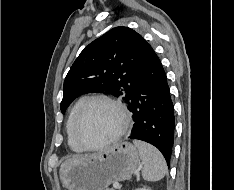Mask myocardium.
Wrapping results in <instances>:
<instances>
[{
	"instance_id": "f54148a6",
	"label": "myocardium",
	"mask_w": 234,
	"mask_h": 190,
	"mask_svg": "<svg viewBox=\"0 0 234 190\" xmlns=\"http://www.w3.org/2000/svg\"><path fill=\"white\" fill-rule=\"evenodd\" d=\"M96 102H103L112 106L119 114L121 124H120L118 131L110 139L97 145H88L80 138L79 128H80L85 112L93 103H96ZM129 125H130V119H129L128 112L120 101L107 95H95V96H91L87 98L82 104V106L80 107L76 115L74 126H73V138L83 150H99V149H102L111 145L112 143L120 139L125 134L127 129L129 128Z\"/></svg>"
}]
</instances>
